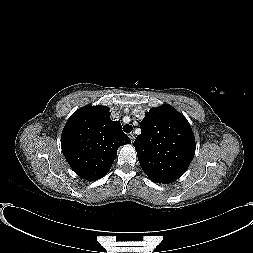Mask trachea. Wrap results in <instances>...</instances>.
Returning <instances> with one entry per match:
<instances>
[{"mask_svg":"<svg viewBox=\"0 0 253 253\" xmlns=\"http://www.w3.org/2000/svg\"><path fill=\"white\" fill-rule=\"evenodd\" d=\"M123 130L126 133H130L133 130V127H132V125L126 124V125L123 126Z\"/></svg>","mask_w":253,"mask_h":253,"instance_id":"3493384b","label":"trachea"}]
</instances>
